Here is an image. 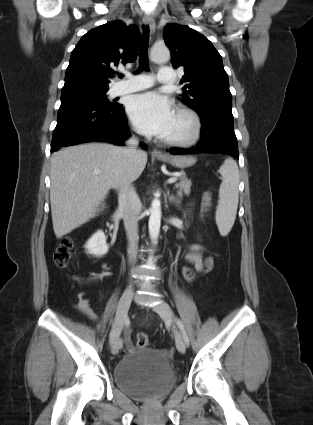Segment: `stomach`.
<instances>
[{
    "mask_svg": "<svg viewBox=\"0 0 313 425\" xmlns=\"http://www.w3.org/2000/svg\"><path fill=\"white\" fill-rule=\"evenodd\" d=\"M160 160L180 169L190 167L196 162V159L190 156H170Z\"/></svg>",
    "mask_w": 313,
    "mask_h": 425,
    "instance_id": "1",
    "label": "stomach"
}]
</instances>
